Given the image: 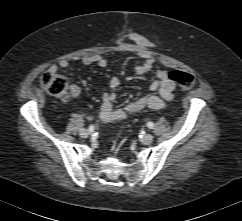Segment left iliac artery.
Returning <instances> with one entry per match:
<instances>
[{
    "label": "left iliac artery",
    "mask_w": 242,
    "mask_h": 221,
    "mask_svg": "<svg viewBox=\"0 0 242 221\" xmlns=\"http://www.w3.org/2000/svg\"><path fill=\"white\" fill-rule=\"evenodd\" d=\"M147 126H148L150 129H153V128H154V123H153V122H148V123H147Z\"/></svg>",
    "instance_id": "44dca946"
}]
</instances>
